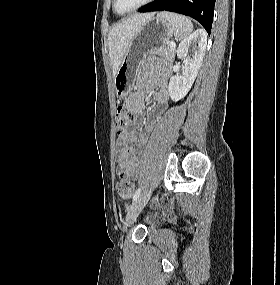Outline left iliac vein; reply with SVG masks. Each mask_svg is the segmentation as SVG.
<instances>
[{
	"instance_id": "obj_1",
	"label": "left iliac vein",
	"mask_w": 280,
	"mask_h": 285,
	"mask_svg": "<svg viewBox=\"0 0 280 285\" xmlns=\"http://www.w3.org/2000/svg\"><path fill=\"white\" fill-rule=\"evenodd\" d=\"M151 194H152V189L146 190L131 205V207L127 212L126 220L123 225L124 231H127L128 228L134 223L137 216L140 214V212L142 211V209L145 207L148 200L150 199Z\"/></svg>"
}]
</instances>
